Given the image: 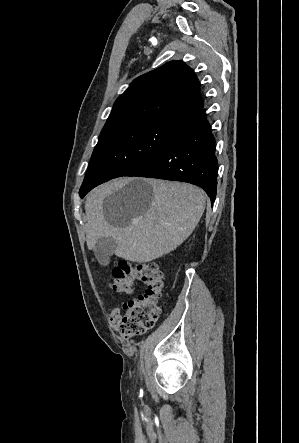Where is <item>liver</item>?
<instances>
[{
	"label": "liver",
	"instance_id": "6515ba94",
	"mask_svg": "<svg viewBox=\"0 0 299 443\" xmlns=\"http://www.w3.org/2000/svg\"><path fill=\"white\" fill-rule=\"evenodd\" d=\"M204 210L205 195L196 186L158 179H116L87 195V247L94 249L100 238L112 237L116 256L150 262L180 246Z\"/></svg>",
	"mask_w": 299,
	"mask_h": 443
}]
</instances>
